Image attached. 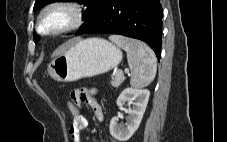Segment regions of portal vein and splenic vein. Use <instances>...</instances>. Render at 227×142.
Wrapping results in <instances>:
<instances>
[{
  "instance_id": "obj_1",
  "label": "portal vein and splenic vein",
  "mask_w": 227,
  "mask_h": 142,
  "mask_svg": "<svg viewBox=\"0 0 227 142\" xmlns=\"http://www.w3.org/2000/svg\"><path fill=\"white\" fill-rule=\"evenodd\" d=\"M125 73H129V70L125 69ZM117 74H123V72L120 70V71L117 72Z\"/></svg>"
}]
</instances>
